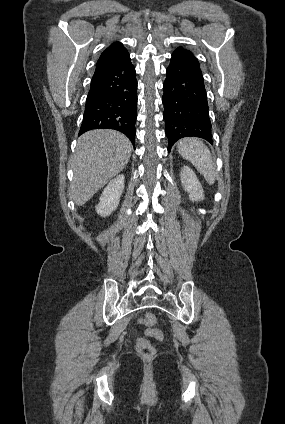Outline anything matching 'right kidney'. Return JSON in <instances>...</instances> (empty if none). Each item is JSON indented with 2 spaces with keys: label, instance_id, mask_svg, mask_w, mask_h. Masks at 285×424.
<instances>
[{
  "label": "right kidney",
  "instance_id": "obj_1",
  "mask_svg": "<svg viewBox=\"0 0 285 424\" xmlns=\"http://www.w3.org/2000/svg\"><path fill=\"white\" fill-rule=\"evenodd\" d=\"M124 175H118L111 180L103 190L100 202L95 206L96 212L102 217L109 216L119 205L124 190Z\"/></svg>",
  "mask_w": 285,
  "mask_h": 424
}]
</instances>
